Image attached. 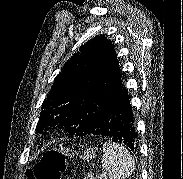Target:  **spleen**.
<instances>
[{"instance_id": "1", "label": "spleen", "mask_w": 183, "mask_h": 179, "mask_svg": "<svg viewBox=\"0 0 183 179\" xmlns=\"http://www.w3.org/2000/svg\"><path fill=\"white\" fill-rule=\"evenodd\" d=\"M102 166L110 179H126L135 170V160L125 147L107 141L103 144Z\"/></svg>"}]
</instances>
